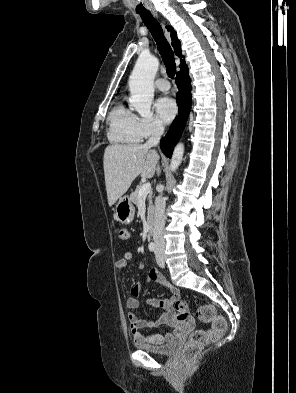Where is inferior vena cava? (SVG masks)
Returning <instances> with one entry per match:
<instances>
[{
  "label": "inferior vena cava",
  "instance_id": "602c4592",
  "mask_svg": "<svg viewBox=\"0 0 296 393\" xmlns=\"http://www.w3.org/2000/svg\"><path fill=\"white\" fill-rule=\"evenodd\" d=\"M164 133V127L159 122H154L152 125L151 137L146 142V146L155 147L158 145L161 136ZM160 169L157 168L159 173ZM161 193L155 199V212H154V223H153V240L157 247L164 248V226H165V206L166 201Z\"/></svg>",
  "mask_w": 296,
  "mask_h": 393
}]
</instances>
